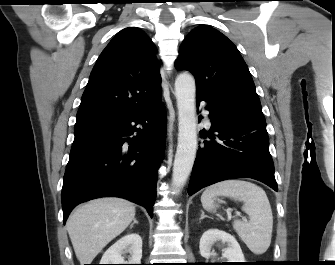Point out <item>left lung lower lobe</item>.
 Segmentation results:
<instances>
[{
	"mask_svg": "<svg viewBox=\"0 0 335 265\" xmlns=\"http://www.w3.org/2000/svg\"><path fill=\"white\" fill-rule=\"evenodd\" d=\"M201 101L208 103L206 109L211 119L209 133L202 130L201 137L211 140L201 143L188 194L219 181L244 177L259 180L277 191L265 126L196 95L198 106Z\"/></svg>",
	"mask_w": 335,
	"mask_h": 265,
	"instance_id": "1",
	"label": "left lung lower lobe"
}]
</instances>
